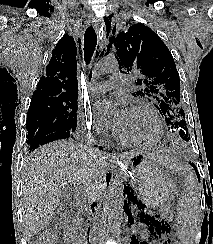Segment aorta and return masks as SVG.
I'll use <instances>...</instances> for the list:
<instances>
[{
	"instance_id": "1",
	"label": "aorta",
	"mask_w": 213,
	"mask_h": 244,
	"mask_svg": "<svg viewBox=\"0 0 213 244\" xmlns=\"http://www.w3.org/2000/svg\"><path fill=\"white\" fill-rule=\"evenodd\" d=\"M118 70V62L114 57H106L101 59L94 67V75L100 77L108 73ZM123 183L122 180L116 178L111 183L106 198V214L109 223V229L112 237L116 241L121 239V224L123 216Z\"/></svg>"
}]
</instances>
